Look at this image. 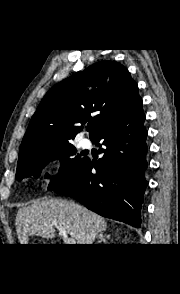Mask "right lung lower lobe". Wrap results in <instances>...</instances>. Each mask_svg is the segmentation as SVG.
I'll use <instances>...</instances> for the list:
<instances>
[{
    "label": "right lung lower lobe",
    "instance_id": "right-lung-lower-lobe-1",
    "mask_svg": "<svg viewBox=\"0 0 180 294\" xmlns=\"http://www.w3.org/2000/svg\"><path fill=\"white\" fill-rule=\"evenodd\" d=\"M144 120L140 99L92 139L102 146L98 152L104 153L103 157L97 163L87 159L68 182L53 190L75 198L104 217L139 228L148 166Z\"/></svg>",
    "mask_w": 180,
    "mask_h": 294
}]
</instances>
